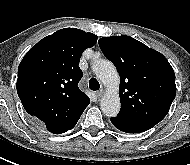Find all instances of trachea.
<instances>
[{
	"label": "trachea",
	"mask_w": 190,
	"mask_h": 165,
	"mask_svg": "<svg viewBox=\"0 0 190 165\" xmlns=\"http://www.w3.org/2000/svg\"><path fill=\"white\" fill-rule=\"evenodd\" d=\"M89 88L93 91H96V90H99L100 88V85H99V82L97 81V79L95 78H91L89 80Z\"/></svg>",
	"instance_id": "3493384b"
}]
</instances>
